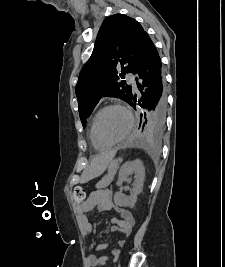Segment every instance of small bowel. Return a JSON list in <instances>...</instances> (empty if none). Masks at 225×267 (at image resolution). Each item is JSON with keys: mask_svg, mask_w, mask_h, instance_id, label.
<instances>
[{"mask_svg": "<svg viewBox=\"0 0 225 267\" xmlns=\"http://www.w3.org/2000/svg\"><path fill=\"white\" fill-rule=\"evenodd\" d=\"M93 209H97L99 211L114 209L119 214L120 218L112 219L113 231L121 232L124 236H128L132 232L135 224L132 213L125 208L116 207L112 204L111 191L97 190L95 192H92L88 197V199L83 204L76 206L77 217L85 235H89L92 231V227L88 222L86 213L92 211ZM124 243H125L124 238L118 241L119 246H123ZM108 246L109 243L107 242L101 243L100 245H98L97 249L98 250L106 249ZM119 254H120V249L113 248L110 251L109 257L90 255L86 260L87 267L104 266L108 258L116 260Z\"/></svg>", "mask_w": 225, "mask_h": 267, "instance_id": "c3829d8e", "label": "small bowel"}]
</instances>
